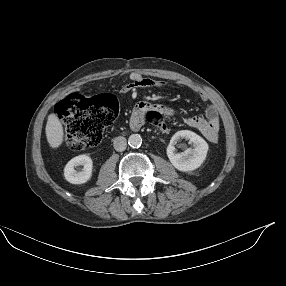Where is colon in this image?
<instances>
[{
	"label": "colon",
	"mask_w": 286,
	"mask_h": 286,
	"mask_svg": "<svg viewBox=\"0 0 286 286\" xmlns=\"http://www.w3.org/2000/svg\"><path fill=\"white\" fill-rule=\"evenodd\" d=\"M118 100L110 94L92 98L71 93L55 106V113L65 127V141L69 148L82 151L98 144L102 133L115 119ZM159 109L148 110L144 114L147 124L167 127Z\"/></svg>",
	"instance_id": "5ec220e1"
}]
</instances>
